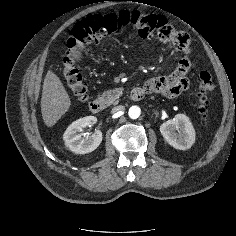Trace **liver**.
Wrapping results in <instances>:
<instances>
[{"label": "liver", "instance_id": "1", "mask_svg": "<svg viewBox=\"0 0 236 236\" xmlns=\"http://www.w3.org/2000/svg\"><path fill=\"white\" fill-rule=\"evenodd\" d=\"M70 106V97L60 78L52 70H48L41 97V113L46 126H54Z\"/></svg>", "mask_w": 236, "mask_h": 236}]
</instances>
